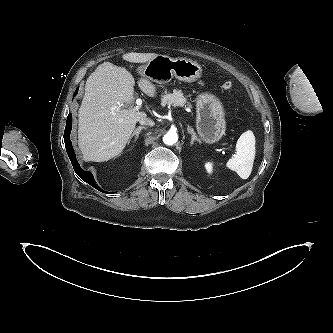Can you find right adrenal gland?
Masks as SVG:
<instances>
[{
    "label": "right adrenal gland",
    "instance_id": "obj_1",
    "mask_svg": "<svg viewBox=\"0 0 333 333\" xmlns=\"http://www.w3.org/2000/svg\"><path fill=\"white\" fill-rule=\"evenodd\" d=\"M143 129H145V127H143V126H139V127H137L136 129H135V131L132 133V135L130 136V139H129V142L128 143H130V141H131V139L134 137V143L137 141V139H138V137H139V134H140V132H141V130H143ZM133 147V146H132Z\"/></svg>",
    "mask_w": 333,
    "mask_h": 333
}]
</instances>
